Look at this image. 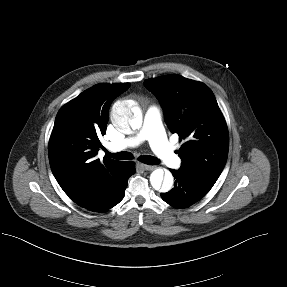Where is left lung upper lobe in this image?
<instances>
[{"instance_id":"5c2ea615","label":"left lung upper lobe","mask_w":287,"mask_h":287,"mask_svg":"<svg viewBox=\"0 0 287 287\" xmlns=\"http://www.w3.org/2000/svg\"><path fill=\"white\" fill-rule=\"evenodd\" d=\"M144 85L160 100L166 124L179 139H187L177 154L181 169L213 187L227 161L229 136L212 91L180 75L148 79Z\"/></svg>"}]
</instances>
